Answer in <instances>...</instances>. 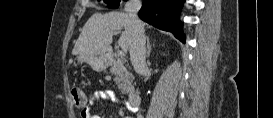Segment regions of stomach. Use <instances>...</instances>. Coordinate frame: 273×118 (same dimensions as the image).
Masks as SVG:
<instances>
[{"label":"stomach","instance_id":"1","mask_svg":"<svg viewBox=\"0 0 273 118\" xmlns=\"http://www.w3.org/2000/svg\"><path fill=\"white\" fill-rule=\"evenodd\" d=\"M79 62H86L89 64L93 70L100 72L106 69L108 66V57L104 53H95L91 55H85L78 57Z\"/></svg>","mask_w":273,"mask_h":118}]
</instances>
